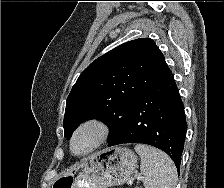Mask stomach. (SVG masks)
Here are the masks:
<instances>
[{
	"instance_id": "obj_1",
	"label": "stomach",
	"mask_w": 224,
	"mask_h": 188,
	"mask_svg": "<svg viewBox=\"0 0 224 188\" xmlns=\"http://www.w3.org/2000/svg\"><path fill=\"white\" fill-rule=\"evenodd\" d=\"M137 156L125 147L103 149L62 172L52 188H108L122 185L135 172Z\"/></svg>"
}]
</instances>
